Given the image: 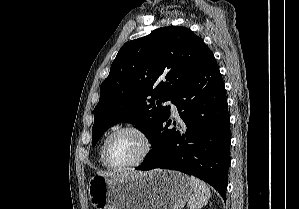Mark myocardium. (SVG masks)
<instances>
[{"label":"myocardium","instance_id":"myocardium-1","mask_svg":"<svg viewBox=\"0 0 299 209\" xmlns=\"http://www.w3.org/2000/svg\"><path fill=\"white\" fill-rule=\"evenodd\" d=\"M123 132H132V133H135L136 135H138L140 137V139L142 140L144 147H143V151H142L141 155L134 162L129 163L127 165L115 166V165L111 164L109 161V157H108L109 148H110V144H111V141L113 140V138L116 135L123 133ZM152 150H153L152 137L144 128H142L138 125H134V124L124 125V126L117 128L113 132H111L109 134V136L107 137L105 145H104V149H103V162H104V165L111 170H115V171L129 170V169H132V168L142 165L147 160V158L151 154Z\"/></svg>","mask_w":299,"mask_h":209}]
</instances>
